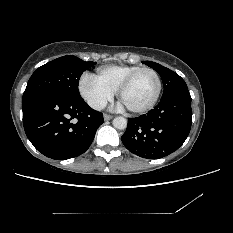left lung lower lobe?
<instances>
[{
	"label": "left lung lower lobe",
	"mask_w": 233,
	"mask_h": 233,
	"mask_svg": "<svg viewBox=\"0 0 233 233\" xmlns=\"http://www.w3.org/2000/svg\"><path fill=\"white\" fill-rule=\"evenodd\" d=\"M191 122V96L188 89H183L161 99L148 114L129 118L121 139L133 154L158 159L181 147Z\"/></svg>",
	"instance_id": "1"
}]
</instances>
